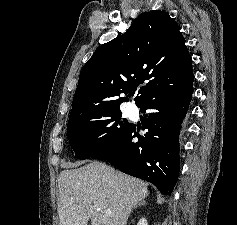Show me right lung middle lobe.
Listing matches in <instances>:
<instances>
[{"label":"right lung middle lobe","mask_w":237,"mask_h":225,"mask_svg":"<svg viewBox=\"0 0 237 225\" xmlns=\"http://www.w3.org/2000/svg\"><path fill=\"white\" fill-rule=\"evenodd\" d=\"M130 123L121 111L109 110L87 120L67 126L70 146L78 159H87L110 147L126 131Z\"/></svg>","instance_id":"right-lung-middle-lobe-1"}]
</instances>
